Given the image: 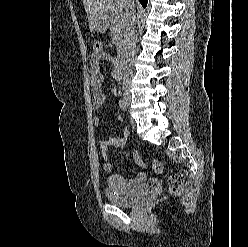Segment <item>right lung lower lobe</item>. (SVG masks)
Returning a JSON list of instances; mask_svg holds the SVG:
<instances>
[{"label":"right lung lower lobe","mask_w":248,"mask_h":247,"mask_svg":"<svg viewBox=\"0 0 248 247\" xmlns=\"http://www.w3.org/2000/svg\"><path fill=\"white\" fill-rule=\"evenodd\" d=\"M143 7H146L148 0H139Z\"/></svg>","instance_id":"1"}]
</instances>
